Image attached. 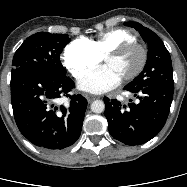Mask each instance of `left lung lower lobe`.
Wrapping results in <instances>:
<instances>
[{
  "label": "left lung lower lobe",
  "mask_w": 187,
  "mask_h": 187,
  "mask_svg": "<svg viewBox=\"0 0 187 187\" xmlns=\"http://www.w3.org/2000/svg\"><path fill=\"white\" fill-rule=\"evenodd\" d=\"M126 90L138 99L136 103L122 106L116 99L104 98L108 130L114 139L126 145L143 144L163 128L169 115L174 86L154 85Z\"/></svg>",
  "instance_id": "1"
}]
</instances>
